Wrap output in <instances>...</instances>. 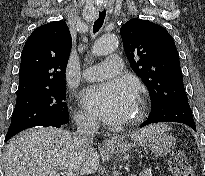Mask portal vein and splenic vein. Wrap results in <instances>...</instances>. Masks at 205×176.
Returning <instances> with one entry per match:
<instances>
[{
  "mask_svg": "<svg viewBox=\"0 0 205 176\" xmlns=\"http://www.w3.org/2000/svg\"><path fill=\"white\" fill-rule=\"evenodd\" d=\"M64 176H76V175L74 173H72V172L66 171L64 173Z\"/></svg>",
  "mask_w": 205,
  "mask_h": 176,
  "instance_id": "1",
  "label": "portal vein and splenic vein"
}]
</instances>
